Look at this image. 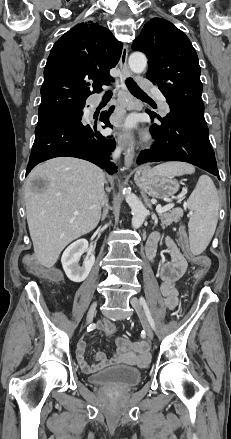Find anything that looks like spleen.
I'll list each match as a JSON object with an SVG mask.
<instances>
[{"label": "spleen", "instance_id": "1", "mask_svg": "<svg viewBox=\"0 0 231 439\" xmlns=\"http://www.w3.org/2000/svg\"><path fill=\"white\" fill-rule=\"evenodd\" d=\"M152 172L181 176L194 173L195 168L187 163L172 162L158 165ZM186 205L193 212L188 222L190 248L194 255H199L211 241L218 222V194L209 176L199 178Z\"/></svg>", "mask_w": 231, "mask_h": 439}]
</instances>
